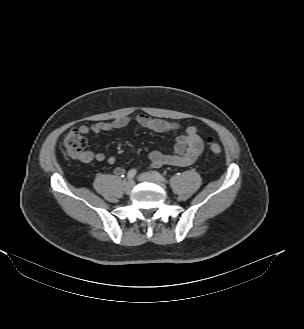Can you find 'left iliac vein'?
Instances as JSON below:
<instances>
[{"instance_id": "1", "label": "left iliac vein", "mask_w": 304, "mask_h": 329, "mask_svg": "<svg viewBox=\"0 0 304 329\" xmlns=\"http://www.w3.org/2000/svg\"><path fill=\"white\" fill-rule=\"evenodd\" d=\"M138 179L140 181L152 182V183L159 185L162 188H165V185L162 182H160L152 173H149V172L142 173L138 177Z\"/></svg>"}]
</instances>
